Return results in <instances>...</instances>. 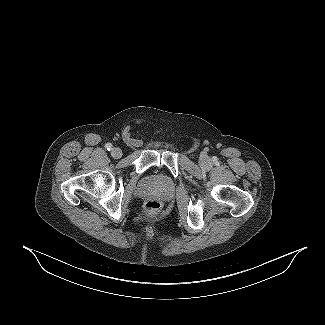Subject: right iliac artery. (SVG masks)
Segmentation results:
<instances>
[{
	"mask_svg": "<svg viewBox=\"0 0 325 325\" xmlns=\"http://www.w3.org/2000/svg\"><path fill=\"white\" fill-rule=\"evenodd\" d=\"M105 148H106L108 151H110V150L112 149V144H111V143H107V144L105 145Z\"/></svg>",
	"mask_w": 325,
	"mask_h": 325,
	"instance_id": "obj_1",
	"label": "right iliac artery"
}]
</instances>
